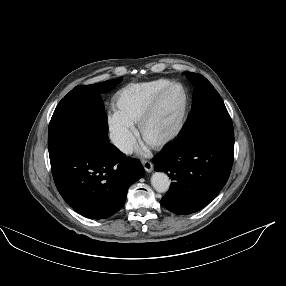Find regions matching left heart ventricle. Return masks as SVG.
<instances>
[{
    "label": "left heart ventricle",
    "instance_id": "b2bd125f",
    "mask_svg": "<svg viewBox=\"0 0 286 286\" xmlns=\"http://www.w3.org/2000/svg\"><path fill=\"white\" fill-rule=\"evenodd\" d=\"M183 102L184 94L180 88L165 94L145 126L144 134L148 141H156L172 130L181 115Z\"/></svg>",
    "mask_w": 286,
    "mask_h": 286
}]
</instances>
